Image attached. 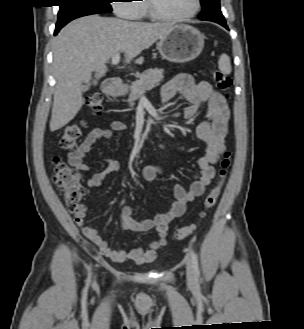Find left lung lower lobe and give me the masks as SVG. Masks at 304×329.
I'll list each match as a JSON object with an SVG mask.
<instances>
[{
  "mask_svg": "<svg viewBox=\"0 0 304 329\" xmlns=\"http://www.w3.org/2000/svg\"><path fill=\"white\" fill-rule=\"evenodd\" d=\"M200 20L212 21L228 29L222 12L220 11L219 0L212 1L208 6L202 9L198 17Z\"/></svg>",
  "mask_w": 304,
  "mask_h": 329,
  "instance_id": "left-lung-lower-lobe-1",
  "label": "left lung lower lobe"
}]
</instances>
